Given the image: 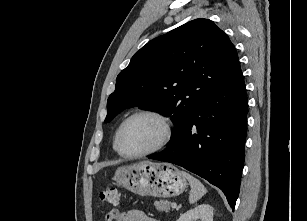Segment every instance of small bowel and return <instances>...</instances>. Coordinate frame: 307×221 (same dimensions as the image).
Masks as SVG:
<instances>
[{
  "label": "small bowel",
  "instance_id": "small-bowel-1",
  "mask_svg": "<svg viewBox=\"0 0 307 221\" xmlns=\"http://www.w3.org/2000/svg\"><path fill=\"white\" fill-rule=\"evenodd\" d=\"M105 221H159V220L137 209H132L123 212L117 209H113L106 215Z\"/></svg>",
  "mask_w": 307,
  "mask_h": 221
}]
</instances>
